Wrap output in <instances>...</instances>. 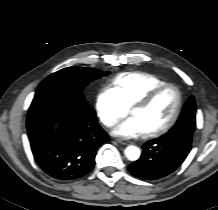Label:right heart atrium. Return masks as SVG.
<instances>
[{
	"label": "right heart atrium",
	"mask_w": 218,
	"mask_h": 210,
	"mask_svg": "<svg viewBox=\"0 0 218 210\" xmlns=\"http://www.w3.org/2000/svg\"><path fill=\"white\" fill-rule=\"evenodd\" d=\"M95 110L107 127L117 125L129 113V107L111 87H104L98 92L95 98Z\"/></svg>",
	"instance_id": "d8ad5b80"
}]
</instances>
